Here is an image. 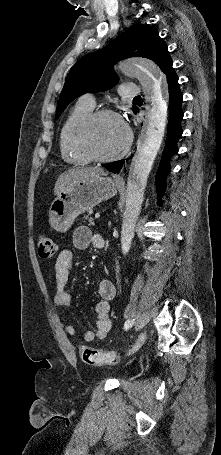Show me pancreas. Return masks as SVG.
I'll return each instance as SVG.
<instances>
[{"instance_id": "1", "label": "pancreas", "mask_w": 221, "mask_h": 455, "mask_svg": "<svg viewBox=\"0 0 221 455\" xmlns=\"http://www.w3.org/2000/svg\"><path fill=\"white\" fill-rule=\"evenodd\" d=\"M90 215H91V212H89L87 215H85L83 217V219L88 220L89 224L92 225L94 223V219L92 217H90Z\"/></svg>"}]
</instances>
